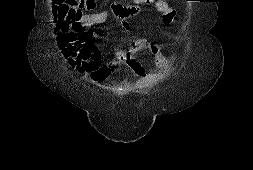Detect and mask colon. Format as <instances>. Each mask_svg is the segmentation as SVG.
Instances as JSON below:
<instances>
[{
	"mask_svg": "<svg viewBox=\"0 0 253 170\" xmlns=\"http://www.w3.org/2000/svg\"><path fill=\"white\" fill-rule=\"evenodd\" d=\"M147 5L157 4L160 0H141ZM92 0H52V9L58 21H68L92 9Z\"/></svg>",
	"mask_w": 253,
	"mask_h": 170,
	"instance_id": "colon-1",
	"label": "colon"
}]
</instances>
